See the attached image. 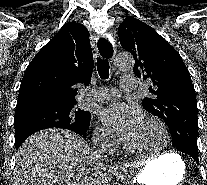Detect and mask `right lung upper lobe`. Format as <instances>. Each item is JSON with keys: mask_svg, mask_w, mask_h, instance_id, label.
Masks as SVG:
<instances>
[{"mask_svg": "<svg viewBox=\"0 0 207 185\" xmlns=\"http://www.w3.org/2000/svg\"><path fill=\"white\" fill-rule=\"evenodd\" d=\"M93 65L86 27L74 21L64 24L29 63L16 111L42 105L74 107L76 87L89 85Z\"/></svg>", "mask_w": 207, "mask_h": 185, "instance_id": "obj_1", "label": "right lung upper lobe"}]
</instances>
